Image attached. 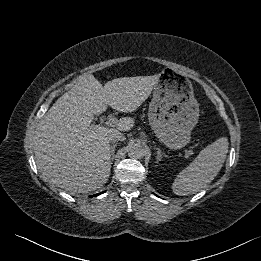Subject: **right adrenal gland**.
Wrapping results in <instances>:
<instances>
[{"mask_svg": "<svg viewBox=\"0 0 261 261\" xmlns=\"http://www.w3.org/2000/svg\"><path fill=\"white\" fill-rule=\"evenodd\" d=\"M117 146V143H114L113 145H111L110 147V153H111V161H113L114 159V153H115V148Z\"/></svg>", "mask_w": 261, "mask_h": 261, "instance_id": "2a0ac1e0", "label": "right adrenal gland"}]
</instances>
